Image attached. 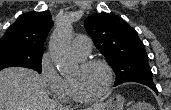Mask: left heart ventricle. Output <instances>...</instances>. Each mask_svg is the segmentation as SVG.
I'll return each instance as SVG.
<instances>
[{
    "mask_svg": "<svg viewBox=\"0 0 171 110\" xmlns=\"http://www.w3.org/2000/svg\"><path fill=\"white\" fill-rule=\"evenodd\" d=\"M68 78L82 96L99 94L107 83V73L101 66L82 69L78 65Z\"/></svg>",
    "mask_w": 171,
    "mask_h": 110,
    "instance_id": "left-heart-ventricle-1",
    "label": "left heart ventricle"
}]
</instances>
